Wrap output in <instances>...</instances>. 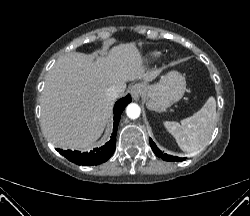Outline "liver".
<instances>
[{
    "label": "liver",
    "instance_id": "liver-1",
    "mask_svg": "<svg viewBox=\"0 0 250 216\" xmlns=\"http://www.w3.org/2000/svg\"><path fill=\"white\" fill-rule=\"evenodd\" d=\"M159 73L146 71L133 43L115 46L106 57L95 60L83 53L60 57L47 75L41 97L45 135L58 148H90L102 135L113 109L114 99L107 89L117 87L123 95L127 82H150Z\"/></svg>",
    "mask_w": 250,
    "mask_h": 216
}]
</instances>
